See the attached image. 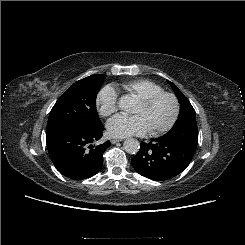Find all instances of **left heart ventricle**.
<instances>
[{"label":"left heart ventricle","mask_w":245,"mask_h":245,"mask_svg":"<svg viewBox=\"0 0 245 245\" xmlns=\"http://www.w3.org/2000/svg\"><path fill=\"white\" fill-rule=\"evenodd\" d=\"M175 105L170 97H162L148 106H143L136 102L132 113L140 116L148 131L163 128L172 118Z\"/></svg>","instance_id":"1"}]
</instances>
